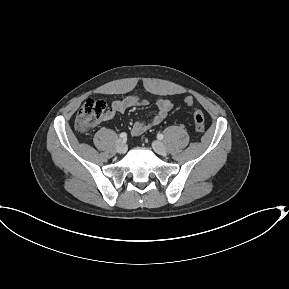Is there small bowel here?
Segmentation results:
<instances>
[{
    "label": "small bowel",
    "mask_w": 289,
    "mask_h": 289,
    "mask_svg": "<svg viewBox=\"0 0 289 289\" xmlns=\"http://www.w3.org/2000/svg\"><path fill=\"white\" fill-rule=\"evenodd\" d=\"M148 101L139 95H129L122 100L112 102L110 109L104 114L103 120L108 121L113 119L117 114L124 113L127 109L137 106H146ZM156 114L148 121H138L133 124L131 133L134 136L141 135L149 128L160 124L167 114L172 110L173 104L165 98L155 100Z\"/></svg>",
    "instance_id": "c3829d8e"
}]
</instances>
